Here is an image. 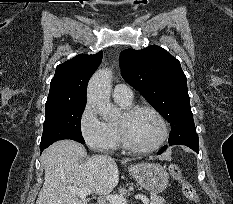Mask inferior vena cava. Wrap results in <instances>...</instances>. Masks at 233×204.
Instances as JSON below:
<instances>
[{"instance_id":"1","label":"inferior vena cava","mask_w":233,"mask_h":204,"mask_svg":"<svg viewBox=\"0 0 233 204\" xmlns=\"http://www.w3.org/2000/svg\"><path fill=\"white\" fill-rule=\"evenodd\" d=\"M103 159H109L110 157H108L107 155H102Z\"/></svg>"}]
</instances>
